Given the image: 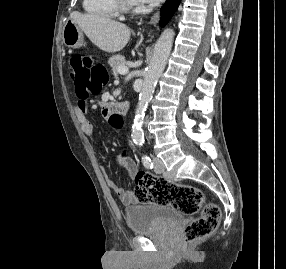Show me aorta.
I'll return each instance as SVG.
<instances>
[{"instance_id":"1","label":"aorta","mask_w":286,"mask_h":269,"mask_svg":"<svg viewBox=\"0 0 286 269\" xmlns=\"http://www.w3.org/2000/svg\"><path fill=\"white\" fill-rule=\"evenodd\" d=\"M174 35L175 33L172 29H166L163 31L154 46L152 59L145 72L144 82L139 94V102L135 112L131 135L134 143L140 147L144 144V132L142 130V125L145 111L148 103L152 99L155 85L167 64V60L173 45Z\"/></svg>"}]
</instances>
